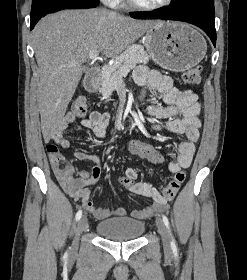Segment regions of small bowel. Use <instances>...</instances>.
<instances>
[{
	"label": "small bowel",
	"instance_id": "1",
	"mask_svg": "<svg viewBox=\"0 0 247 280\" xmlns=\"http://www.w3.org/2000/svg\"><path fill=\"white\" fill-rule=\"evenodd\" d=\"M135 82L152 92L159 93L162 96L165 105L152 104L147 108L148 114L156 121L152 129L159 130L165 128L173 133L184 134L185 140L178 144L177 158L170 159L168 170L175 174L182 169L190 167L195 153V143L199 138L201 112L200 104L197 101V95L189 89H182L174 85L172 80L155 70H148L144 66L136 68L134 73ZM75 116L67 113L59 122L57 127L50 135L57 148L69 150L70 142L64 138L63 134L68 126L74 121ZM161 120H165L161 123ZM110 121L108 113L94 111L87 118L80 121L81 127L90 129L96 137H103ZM75 160H91L95 163L93 169L89 172L78 170L76 175L68 179L59 178L58 180L65 192L74 200L79 201L82 207L91 213L97 219H107L112 216H125L127 210L123 207L115 209L98 208L92 202L90 185H96L102 174L100 159L97 155L76 151L73 154ZM124 176L133 181L131 188H126L133 194L150 198L153 205L143 209H135L131 216L135 219H144L150 216L158 207L166 204V199L159 194L157 189L146 181L137 182L138 174L133 168H128Z\"/></svg>",
	"mask_w": 247,
	"mask_h": 280
}]
</instances>
